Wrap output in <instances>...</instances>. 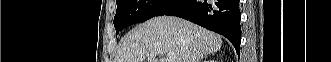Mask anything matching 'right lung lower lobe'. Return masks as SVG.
<instances>
[{"label":"right lung lower lobe","instance_id":"right-lung-lower-lobe-1","mask_svg":"<svg viewBox=\"0 0 331 62\" xmlns=\"http://www.w3.org/2000/svg\"><path fill=\"white\" fill-rule=\"evenodd\" d=\"M162 15L181 17L225 36L239 54L241 42L239 0H180Z\"/></svg>","mask_w":331,"mask_h":62}]
</instances>
